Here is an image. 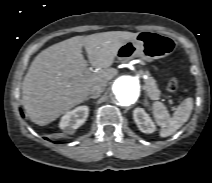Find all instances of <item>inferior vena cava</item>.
Returning <instances> with one entry per match:
<instances>
[{"label":"inferior vena cava","instance_id":"obj_1","mask_svg":"<svg viewBox=\"0 0 212 183\" xmlns=\"http://www.w3.org/2000/svg\"><path fill=\"white\" fill-rule=\"evenodd\" d=\"M104 89H105L104 83L95 84L91 87L90 94L99 96L103 92Z\"/></svg>","mask_w":212,"mask_h":183}]
</instances>
